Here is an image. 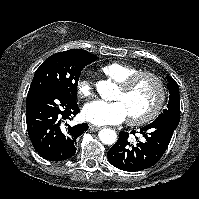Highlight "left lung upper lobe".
<instances>
[{
    "label": "left lung upper lobe",
    "instance_id": "5c2ea615",
    "mask_svg": "<svg viewBox=\"0 0 199 199\" xmlns=\"http://www.w3.org/2000/svg\"><path fill=\"white\" fill-rule=\"evenodd\" d=\"M168 81V90L170 93L169 103L167 108L157 117L156 120H169L179 123L180 121V95H179V86L177 83L170 77L167 76Z\"/></svg>",
    "mask_w": 199,
    "mask_h": 199
}]
</instances>
